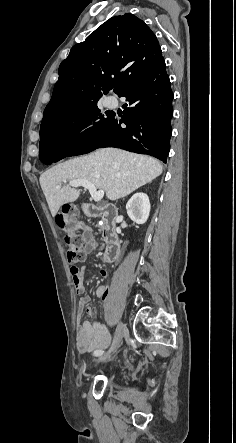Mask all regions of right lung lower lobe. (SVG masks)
I'll use <instances>...</instances> for the list:
<instances>
[{"label":"right lung lower lobe","instance_id":"right-lung-lower-lobe-1","mask_svg":"<svg viewBox=\"0 0 236 443\" xmlns=\"http://www.w3.org/2000/svg\"><path fill=\"white\" fill-rule=\"evenodd\" d=\"M165 68L162 57L119 94L131 106L125 109L121 119L112 112L106 121L73 144L40 148L41 162L49 165L66 156L85 154L100 147H117L148 154L166 163L172 134L173 93Z\"/></svg>","mask_w":236,"mask_h":443}]
</instances>
